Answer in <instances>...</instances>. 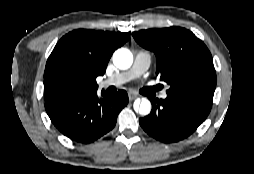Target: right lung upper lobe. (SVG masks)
Here are the masks:
<instances>
[{
  "mask_svg": "<svg viewBox=\"0 0 254 174\" xmlns=\"http://www.w3.org/2000/svg\"><path fill=\"white\" fill-rule=\"evenodd\" d=\"M129 40L126 32L77 29L63 36L50 54L44 72V90L60 74H71L96 84L113 52Z\"/></svg>",
  "mask_w": 254,
  "mask_h": 174,
  "instance_id": "cb5924a9",
  "label": "right lung upper lobe"
}]
</instances>
